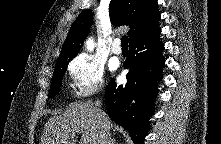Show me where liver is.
<instances>
[{"mask_svg":"<svg viewBox=\"0 0 221 144\" xmlns=\"http://www.w3.org/2000/svg\"><path fill=\"white\" fill-rule=\"evenodd\" d=\"M109 131L112 122L104 113ZM101 125L97 111L93 105L86 102H74L59 116L51 117L41 137V144H75L74 137L82 133L79 144H98Z\"/></svg>","mask_w":221,"mask_h":144,"instance_id":"1","label":"liver"}]
</instances>
